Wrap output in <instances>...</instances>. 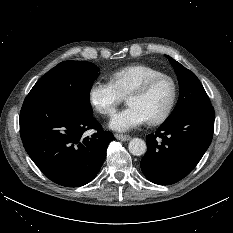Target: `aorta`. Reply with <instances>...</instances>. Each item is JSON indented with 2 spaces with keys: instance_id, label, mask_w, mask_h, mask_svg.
I'll return each mask as SVG.
<instances>
[{
  "instance_id": "aorta-1",
  "label": "aorta",
  "mask_w": 233,
  "mask_h": 233,
  "mask_svg": "<svg viewBox=\"0 0 233 233\" xmlns=\"http://www.w3.org/2000/svg\"><path fill=\"white\" fill-rule=\"evenodd\" d=\"M129 151L132 155L141 156L146 153L147 146L144 140L140 138H133L128 145Z\"/></svg>"
}]
</instances>
